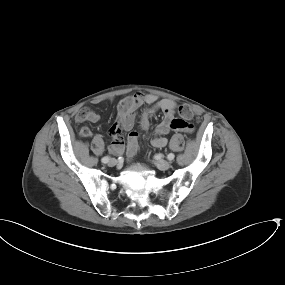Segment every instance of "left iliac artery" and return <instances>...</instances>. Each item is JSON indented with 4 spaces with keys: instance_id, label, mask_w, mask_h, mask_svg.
<instances>
[{
    "instance_id": "1",
    "label": "left iliac artery",
    "mask_w": 285,
    "mask_h": 285,
    "mask_svg": "<svg viewBox=\"0 0 285 285\" xmlns=\"http://www.w3.org/2000/svg\"><path fill=\"white\" fill-rule=\"evenodd\" d=\"M174 158H175V155H174L173 153H169V154L167 155V159H168L169 161H172Z\"/></svg>"
}]
</instances>
